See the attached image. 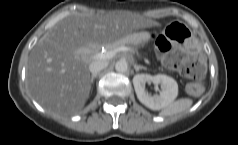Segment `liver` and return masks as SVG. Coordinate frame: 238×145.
<instances>
[{"instance_id":"obj_1","label":"liver","mask_w":238,"mask_h":145,"mask_svg":"<svg viewBox=\"0 0 238 145\" xmlns=\"http://www.w3.org/2000/svg\"><path fill=\"white\" fill-rule=\"evenodd\" d=\"M156 25L124 12L73 13L61 19L30 52L26 79L31 94L51 113H77L91 89L89 60L84 58L91 47L120 41L135 30Z\"/></svg>"}]
</instances>
